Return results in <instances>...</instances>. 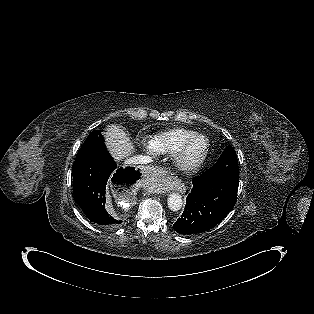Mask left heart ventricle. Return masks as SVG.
<instances>
[{
  "label": "left heart ventricle",
  "mask_w": 314,
  "mask_h": 314,
  "mask_svg": "<svg viewBox=\"0 0 314 314\" xmlns=\"http://www.w3.org/2000/svg\"><path fill=\"white\" fill-rule=\"evenodd\" d=\"M193 152L196 153L198 151H200L202 149V143L201 142H196L194 145H193Z\"/></svg>",
  "instance_id": "left-heart-ventricle-1"
}]
</instances>
